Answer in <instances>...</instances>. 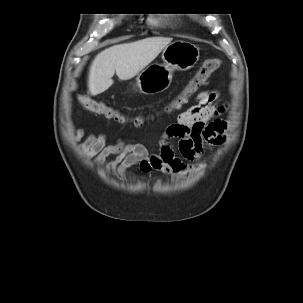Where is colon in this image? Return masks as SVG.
<instances>
[{"mask_svg": "<svg viewBox=\"0 0 303 303\" xmlns=\"http://www.w3.org/2000/svg\"><path fill=\"white\" fill-rule=\"evenodd\" d=\"M220 65L221 61L219 59H208L204 61L197 73L188 81L184 89L168 104L166 110L172 112L180 109L188 99L198 91V89L207 84L211 74L217 70ZM78 102L83 109L89 112L104 115L106 118L121 124L128 122V118L124 114L120 113L104 99L80 97ZM134 123L138 125L141 121L136 119L134 120Z\"/></svg>", "mask_w": 303, "mask_h": 303, "instance_id": "colon-1", "label": "colon"}]
</instances>
